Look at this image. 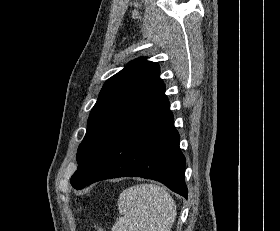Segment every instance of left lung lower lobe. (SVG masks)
I'll list each match as a JSON object with an SVG mask.
<instances>
[{
  "label": "left lung lower lobe",
  "mask_w": 280,
  "mask_h": 231,
  "mask_svg": "<svg viewBox=\"0 0 280 231\" xmlns=\"http://www.w3.org/2000/svg\"><path fill=\"white\" fill-rule=\"evenodd\" d=\"M166 98L156 109L120 131L100 152L75 189L118 177L157 180L187 198L185 157Z\"/></svg>",
  "instance_id": "obj_1"
}]
</instances>
